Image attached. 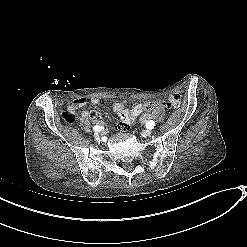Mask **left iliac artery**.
Here are the masks:
<instances>
[{
	"label": "left iliac artery",
	"instance_id": "left-iliac-artery-1",
	"mask_svg": "<svg viewBox=\"0 0 247 247\" xmlns=\"http://www.w3.org/2000/svg\"><path fill=\"white\" fill-rule=\"evenodd\" d=\"M154 126H155V122H154L153 120H150V121H148V122L146 123V127H147L148 129H153Z\"/></svg>",
	"mask_w": 247,
	"mask_h": 247
}]
</instances>
